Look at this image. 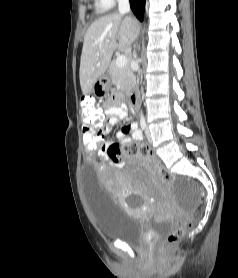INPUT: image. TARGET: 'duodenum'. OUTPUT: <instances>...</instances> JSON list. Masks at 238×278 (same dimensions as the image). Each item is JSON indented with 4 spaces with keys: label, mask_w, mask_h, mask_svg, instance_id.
Instances as JSON below:
<instances>
[{
    "label": "duodenum",
    "mask_w": 238,
    "mask_h": 278,
    "mask_svg": "<svg viewBox=\"0 0 238 278\" xmlns=\"http://www.w3.org/2000/svg\"><path fill=\"white\" fill-rule=\"evenodd\" d=\"M129 102L130 104L135 107L136 106V102H137V97L136 94L134 92H132L129 96Z\"/></svg>",
    "instance_id": "duodenum-1"
}]
</instances>
